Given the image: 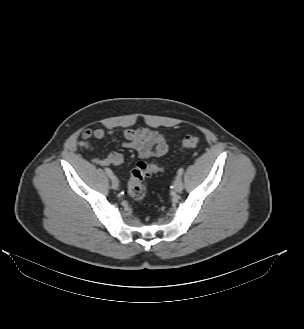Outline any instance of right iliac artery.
Returning a JSON list of instances; mask_svg holds the SVG:
<instances>
[{"label":"right iliac artery","mask_w":304,"mask_h":329,"mask_svg":"<svg viewBox=\"0 0 304 329\" xmlns=\"http://www.w3.org/2000/svg\"><path fill=\"white\" fill-rule=\"evenodd\" d=\"M105 171H106L107 175H108L110 178H112L113 173H112L111 169H109V168H105Z\"/></svg>","instance_id":"obj_1"}]
</instances>
